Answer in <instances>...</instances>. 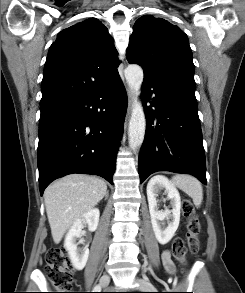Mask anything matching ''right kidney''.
<instances>
[{
	"mask_svg": "<svg viewBox=\"0 0 245 293\" xmlns=\"http://www.w3.org/2000/svg\"><path fill=\"white\" fill-rule=\"evenodd\" d=\"M99 216L100 212L97 208L89 210L73 223L66 234L64 247L68 252L72 265L77 270H82L85 267L89 256V249L87 246L78 247L76 240L79 239V243H84V240L81 238L83 224L86 223L88 230L93 232L97 229Z\"/></svg>",
	"mask_w": 245,
	"mask_h": 293,
	"instance_id": "right-kidney-1",
	"label": "right kidney"
}]
</instances>
